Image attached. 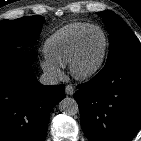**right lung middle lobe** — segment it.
Masks as SVG:
<instances>
[{
	"label": "right lung middle lobe",
	"mask_w": 141,
	"mask_h": 141,
	"mask_svg": "<svg viewBox=\"0 0 141 141\" xmlns=\"http://www.w3.org/2000/svg\"><path fill=\"white\" fill-rule=\"evenodd\" d=\"M45 19L42 16L22 17L0 22V53L35 42Z\"/></svg>",
	"instance_id": "dd1d6c3e"
}]
</instances>
